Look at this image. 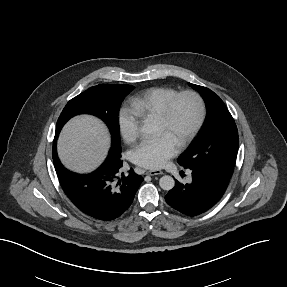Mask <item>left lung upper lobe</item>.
Masks as SVG:
<instances>
[{
  "label": "left lung upper lobe",
  "instance_id": "obj_1",
  "mask_svg": "<svg viewBox=\"0 0 287 287\" xmlns=\"http://www.w3.org/2000/svg\"><path fill=\"white\" fill-rule=\"evenodd\" d=\"M203 97L207 118L199 136L180 155L184 168L204 167L232 176L239 139L236 124L218 95L208 88L189 83Z\"/></svg>",
  "mask_w": 287,
  "mask_h": 287
}]
</instances>
